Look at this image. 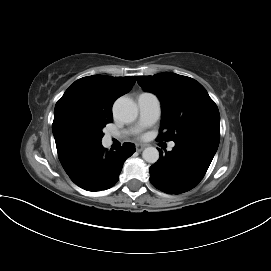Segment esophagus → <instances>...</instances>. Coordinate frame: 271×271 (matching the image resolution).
Listing matches in <instances>:
<instances>
[{"label": "esophagus", "mask_w": 271, "mask_h": 271, "mask_svg": "<svg viewBox=\"0 0 271 271\" xmlns=\"http://www.w3.org/2000/svg\"><path fill=\"white\" fill-rule=\"evenodd\" d=\"M145 147H146V145H143V144H136V150H137L138 152L142 151Z\"/></svg>", "instance_id": "34e87169"}]
</instances>
